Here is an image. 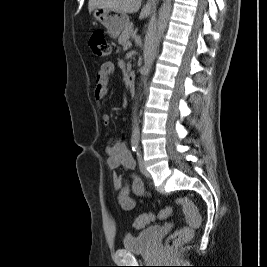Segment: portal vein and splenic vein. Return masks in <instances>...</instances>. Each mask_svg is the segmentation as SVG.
I'll list each match as a JSON object with an SVG mask.
<instances>
[{"label":"portal vein and splenic vein","instance_id":"1","mask_svg":"<svg viewBox=\"0 0 267 267\" xmlns=\"http://www.w3.org/2000/svg\"><path fill=\"white\" fill-rule=\"evenodd\" d=\"M126 46H131V43L128 41L127 43H126Z\"/></svg>","mask_w":267,"mask_h":267}]
</instances>
